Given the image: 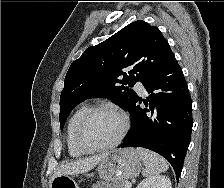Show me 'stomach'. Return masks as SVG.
Listing matches in <instances>:
<instances>
[{
    "label": "stomach",
    "instance_id": "1",
    "mask_svg": "<svg viewBox=\"0 0 224 188\" xmlns=\"http://www.w3.org/2000/svg\"><path fill=\"white\" fill-rule=\"evenodd\" d=\"M142 159L133 148L114 149L98 163L97 171L106 181L123 182L139 175ZM50 188H79L70 175L54 177Z\"/></svg>",
    "mask_w": 224,
    "mask_h": 188
}]
</instances>
